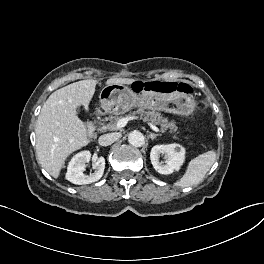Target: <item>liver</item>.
<instances>
[{"label":"liver","mask_w":264,"mask_h":264,"mask_svg":"<svg viewBox=\"0 0 264 264\" xmlns=\"http://www.w3.org/2000/svg\"><path fill=\"white\" fill-rule=\"evenodd\" d=\"M135 82L129 78H110L106 85ZM97 81L82 80L53 92L44 105L36 123V153L40 165L58 178L66 158L88 145L87 129L77 116V108L86 111L95 93Z\"/></svg>","instance_id":"6515ba94"}]
</instances>
